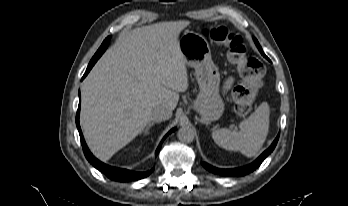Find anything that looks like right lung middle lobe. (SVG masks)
<instances>
[{
	"label": "right lung middle lobe",
	"instance_id": "1",
	"mask_svg": "<svg viewBox=\"0 0 348 206\" xmlns=\"http://www.w3.org/2000/svg\"><path fill=\"white\" fill-rule=\"evenodd\" d=\"M110 38H111V37L109 36V37H107L104 41L109 42Z\"/></svg>",
	"mask_w": 348,
	"mask_h": 206
}]
</instances>
